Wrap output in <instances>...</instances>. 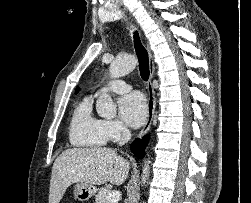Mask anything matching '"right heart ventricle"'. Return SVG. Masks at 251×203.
Returning a JSON list of instances; mask_svg holds the SVG:
<instances>
[{
  "label": "right heart ventricle",
  "instance_id": "e07e8e85",
  "mask_svg": "<svg viewBox=\"0 0 251 203\" xmlns=\"http://www.w3.org/2000/svg\"><path fill=\"white\" fill-rule=\"evenodd\" d=\"M69 139L78 147L105 145L107 139L102 129V120L92 113V98H84L75 108L69 127Z\"/></svg>",
  "mask_w": 251,
  "mask_h": 203
}]
</instances>
